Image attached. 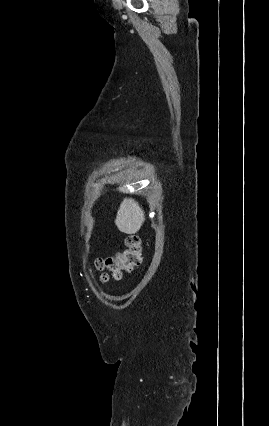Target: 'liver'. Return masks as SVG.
I'll list each match as a JSON object with an SVG mask.
<instances>
[{
    "label": "liver",
    "mask_w": 269,
    "mask_h": 426,
    "mask_svg": "<svg viewBox=\"0 0 269 426\" xmlns=\"http://www.w3.org/2000/svg\"><path fill=\"white\" fill-rule=\"evenodd\" d=\"M145 221L142 208L132 198H125L118 209L115 225L125 234L137 233Z\"/></svg>",
    "instance_id": "obj_1"
}]
</instances>
